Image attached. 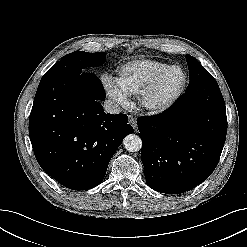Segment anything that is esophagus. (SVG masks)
I'll return each mask as SVG.
<instances>
[{"label":"esophagus","instance_id":"1","mask_svg":"<svg viewBox=\"0 0 247 247\" xmlns=\"http://www.w3.org/2000/svg\"><path fill=\"white\" fill-rule=\"evenodd\" d=\"M129 123L136 130V128H137L136 119L133 116H131V115H129Z\"/></svg>","mask_w":247,"mask_h":247}]
</instances>
